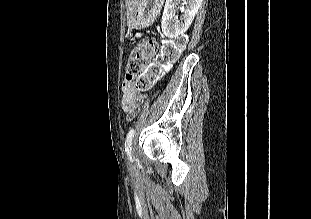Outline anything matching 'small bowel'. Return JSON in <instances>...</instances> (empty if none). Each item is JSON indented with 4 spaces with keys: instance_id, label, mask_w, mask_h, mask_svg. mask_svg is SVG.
Returning a JSON list of instances; mask_svg holds the SVG:
<instances>
[{
    "instance_id": "1",
    "label": "small bowel",
    "mask_w": 311,
    "mask_h": 219,
    "mask_svg": "<svg viewBox=\"0 0 311 219\" xmlns=\"http://www.w3.org/2000/svg\"><path fill=\"white\" fill-rule=\"evenodd\" d=\"M122 92V110L127 116L132 117L137 113L139 106L144 99V94L138 93L132 89V77L129 75H126L122 82Z\"/></svg>"
}]
</instances>
